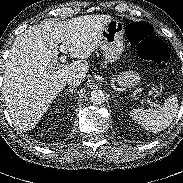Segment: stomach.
Segmentation results:
<instances>
[{
    "mask_svg": "<svg viewBox=\"0 0 183 183\" xmlns=\"http://www.w3.org/2000/svg\"><path fill=\"white\" fill-rule=\"evenodd\" d=\"M124 25L118 20H111L103 29L98 46L103 50L107 62H115L124 51ZM119 86L131 89L140 82V76L133 71H124L116 76Z\"/></svg>",
    "mask_w": 183,
    "mask_h": 183,
    "instance_id": "1",
    "label": "stomach"
}]
</instances>
